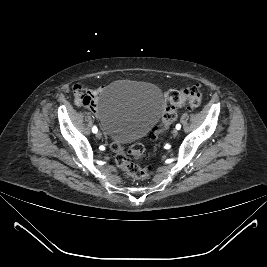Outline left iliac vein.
<instances>
[{"label":"left iliac vein","instance_id":"left-iliac-vein-1","mask_svg":"<svg viewBox=\"0 0 267 267\" xmlns=\"http://www.w3.org/2000/svg\"><path fill=\"white\" fill-rule=\"evenodd\" d=\"M178 135V131L177 130H173V132H172V136L173 137H176Z\"/></svg>","mask_w":267,"mask_h":267}]
</instances>
